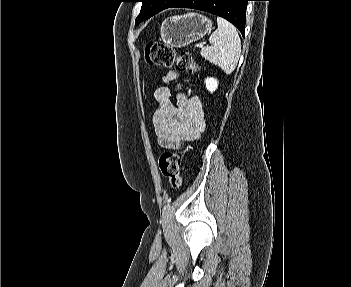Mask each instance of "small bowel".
Segmentation results:
<instances>
[{"label": "small bowel", "mask_w": 351, "mask_h": 287, "mask_svg": "<svg viewBox=\"0 0 351 287\" xmlns=\"http://www.w3.org/2000/svg\"><path fill=\"white\" fill-rule=\"evenodd\" d=\"M177 78L175 71H169L163 78L169 83ZM157 108L153 114V126L159 144L163 148H177L181 142L196 138L204 129L205 113L198 96L178 95L174 105L171 90L160 86L154 91Z\"/></svg>", "instance_id": "1"}]
</instances>
